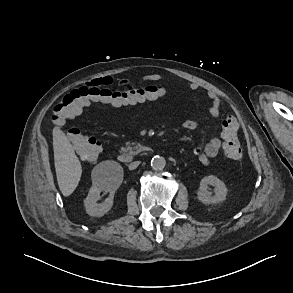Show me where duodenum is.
<instances>
[{"label": "duodenum", "mask_w": 293, "mask_h": 293, "mask_svg": "<svg viewBox=\"0 0 293 293\" xmlns=\"http://www.w3.org/2000/svg\"><path fill=\"white\" fill-rule=\"evenodd\" d=\"M152 151H153L152 148L148 146H139L132 151H124L119 153L118 160L124 164H129L134 160L137 154L150 153Z\"/></svg>", "instance_id": "410a0bca"}]
</instances>
